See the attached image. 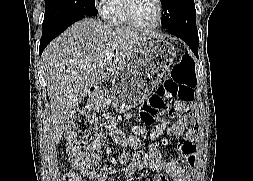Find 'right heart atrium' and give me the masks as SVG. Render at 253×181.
Segmentation results:
<instances>
[{"mask_svg": "<svg viewBox=\"0 0 253 181\" xmlns=\"http://www.w3.org/2000/svg\"><path fill=\"white\" fill-rule=\"evenodd\" d=\"M108 1L109 0H94L95 8L101 15H104Z\"/></svg>", "mask_w": 253, "mask_h": 181, "instance_id": "1", "label": "right heart atrium"}]
</instances>
